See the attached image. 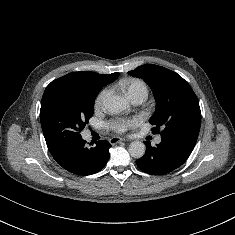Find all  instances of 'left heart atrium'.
I'll use <instances>...</instances> for the list:
<instances>
[{
	"instance_id": "39dd6f15",
	"label": "left heart atrium",
	"mask_w": 235,
	"mask_h": 235,
	"mask_svg": "<svg viewBox=\"0 0 235 235\" xmlns=\"http://www.w3.org/2000/svg\"><path fill=\"white\" fill-rule=\"evenodd\" d=\"M138 118L137 117H132V118H116L111 120L108 123V126L119 133L125 132L127 129L135 126L138 123Z\"/></svg>"
}]
</instances>
